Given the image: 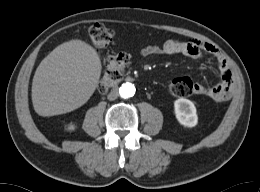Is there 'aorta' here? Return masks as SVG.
<instances>
[{"label": "aorta", "instance_id": "obj_1", "mask_svg": "<svg viewBox=\"0 0 260 192\" xmlns=\"http://www.w3.org/2000/svg\"><path fill=\"white\" fill-rule=\"evenodd\" d=\"M135 86L132 83H124L119 88V94L122 98L128 99L134 96Z\"/></svg>", "mask_w": 260, "mask_h": 192}]
</instances>
